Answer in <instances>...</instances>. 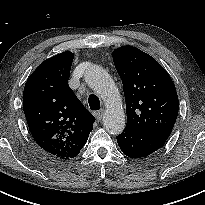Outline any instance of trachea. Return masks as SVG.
<instances>
[{"mask_svg": "<svg viewBox=\"0 0 205 205\" xmlns=\"http://www.w3.org/2000/svg\"><path fill=\"white\" fill-rule=\"evenodd\" d=\"M89 106L92 110L100 109V100L94 94L90 95L88 98Z\"/></svg>", "mask_w": 205, "mask_h": 205, "instance_id": "trachea-1", "label": "trachea"}]
</instances>
